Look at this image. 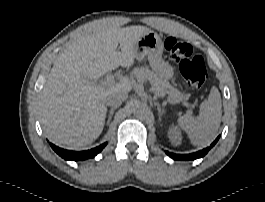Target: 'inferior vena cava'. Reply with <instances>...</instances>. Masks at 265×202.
Masks as SVG:
<instances>
[{
	"label": "inferior vena cava",
	"mask_w": 265,
	"mask_h": 202,
	"mask_svg": "<svg viewBox=\"0 0 265 202\" xmlns=\"http://www.w3.org/2000/svg\"><path fill=\"white\" fill-rule=\"evenodd\" d=\"M128 93L121 90H115L110 92L105 98V104L107 106L119 107L123 101L127 98Z\"/></svg>",
	"instance_id": "inferior-vena-cava-1"
}]
</instances>
